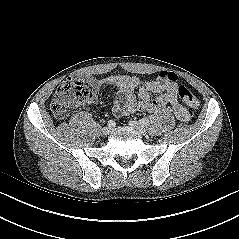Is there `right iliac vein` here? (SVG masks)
Returning a JSON list of instances; mask_svg holds the SVG:
<instances>
[{"label": "right iliac vein", "mask_w": 239, "mask_h": 239, "mask_svg": "<svg viewBox=\"0 0 239 239\" xmlns=\"http://www.w3.org/2000/svg\"><path fill=\"white\" fill-rule=\"evenodd\" d=\"M111 130H112V128L111 127H104L103 129H102V133H103V135H109L110 134V132H111Z\"/></svg>", "instance_id": "obj_1"}]
</instances>
